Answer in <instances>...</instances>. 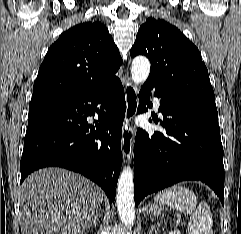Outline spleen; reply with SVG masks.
Wrapping results in <instances>:
<instances>
[{"label":"spleen","instance_id":"3e777b00","mask_svg":"<svg viewBox=\"0 0 241 234\" xmlns=\"http://www.w3.org/2000/svg\"><path fill=\"white\" fill-rule=\"evenodd\" d=\"M154 201L190 215L188 234H213V220L208 204L202 201L197 206L196 195L188 188L176 184L160 191Z\"/></svg>","mask_w":241,"mask_h":234}]
</instances>
